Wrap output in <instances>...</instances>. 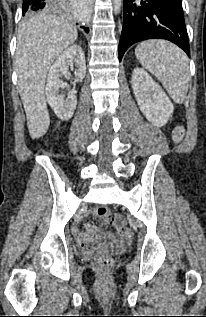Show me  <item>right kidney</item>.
<instances>
[{
    "mask_svg": "<svg viewBox=\"0 0 206 317\" xmlns=\"http://www.w3.org/2000/svg\"><path fill=\"white\" fill-rule=\"evenodd\" d=\"M73 65L76 67L75 81H81L85 77L86 65L84 51L78 45L70 46L57 57L47 77L46 99L61 120H69L77 105L74 91L67 94L66 100L60 94V88L64 86L62 76H69V66Z\"/></svg>",
    "mask_w": 206,
    "mask_h": 317,
    "instance_id": "ca27d5eb",
    "label": "right kidney"
}]
</instances>
